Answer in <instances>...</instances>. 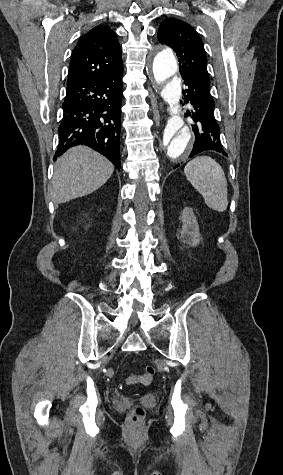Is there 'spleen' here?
I'll use <instances>...</instances> for the list:
<instances>
[{
	"label": "spleen",
	"mask_w": 283,
	"mask_h": 475,
	"mask_svg": "<svg viewBox=\"0 0 283 475\" xmlns=\"http://www.w3.org/2000/svg\"><path fill=\"white\" fill-rule=\"evenodd\" d=\"M184 174L193 188L202 194L208 208L216 212L227 210V180L220 164L209 156H200L186 164Z\"/></svg>",
	"instance_id": "1"
}]
</instances>
